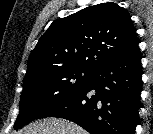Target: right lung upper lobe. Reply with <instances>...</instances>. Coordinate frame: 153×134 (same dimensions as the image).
Listing matches in <instances>:
<instances>
[{
    "label": "right lung upper lobe",
    "mask_w": 153,
    "mask_h": 134,
    "mask_svg": "<svg viewBox=\"0 0 153 134\" xmlns=\"http://www.w3.org/2000/svg\"><path fill=\"white\" fill-rule=\"evenodd\" d=\"M136 46V31L125 10L113 2L90 6L50 25L30 54L25 78L61 67L94 71Z\"/></svg>",
    "instance_id": "cb5924a9"
}]
</instances>
